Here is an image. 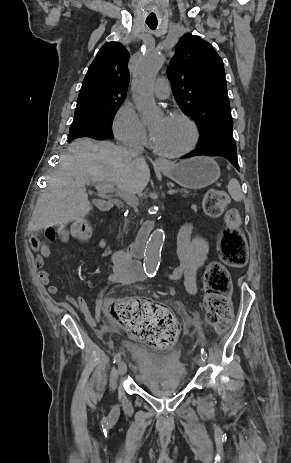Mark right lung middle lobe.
<instances>
[{
  "instance_id": "1",
  "label": "right lung middle lobe",
  "mask_w": 291,
  "mask_h": 463,
  "mask_svg": "<svg viewBox=\"0 0 291 463\" xmlns=\"http://www.w3.org/2000/svg\"><path fill=\"white\" fill-rule=\"evenodd\" d=\"M122 101L108 102L91 112L75 116L70 126L68 141L88 137L96 140L112 139L113 118Z\"/></svg>"
}]
</instances>
